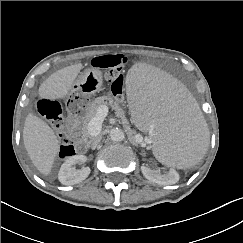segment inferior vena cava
<instances>
[{"label":"inferior vena cava","instance_id":"obj_1","mask_svg":"<svg viewBox=\"0 0 243 243\" xmlns=\"http://www.w3.org/2000/svg\"><path fill=\"white\" fill-rule=\"evenodd\" d=\"M99 142H100V138L99 137L93 138V141L91 143V147L92 148H96V146L99 144Z\"/></svg>","mask_w":243,"mask_h":243}]
</instances>
